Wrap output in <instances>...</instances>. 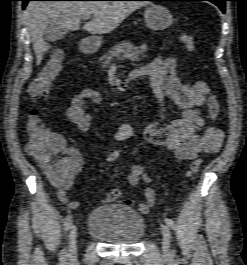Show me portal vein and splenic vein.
<instances>
[{"mask_svg":"<svg viewBox=\"0 0 247 265\" xmlns=\"http://www.w3.org/2000/svg\"><path fill=\"white\" fill-rule=\"evenodd\" d=\"M90 18V16H83L84 20H88Z\"/></svg>","mask_w":247,"mask_h":265,"instance_id":"18ae733b","label":"portal vein and splenic vein"}]
</instances>
